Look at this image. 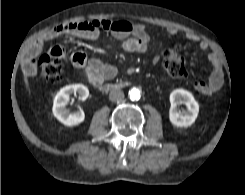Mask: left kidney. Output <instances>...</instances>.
<instances>
[{
  "instance_id": "left-kidney-1",
  "label": "left kidney",
  "mask_w": 245,
  "mask_h": 195,
  "mask_svg": "<svg viewBox=\"0 0 245 195\" xmlns=\"http://www.w3.org/2000/svg\"><path fill=\"white\" fill-rule=\"evenodd\" d=\"M171 107L169 120L176 127L191 126L199 113V104L191 92L184 89H175L170 94ZM179 104H185L187 110L178 109Z\"/></svg>"
}]
</instances>
